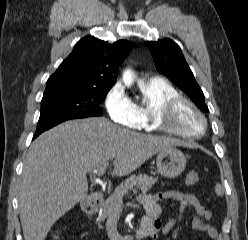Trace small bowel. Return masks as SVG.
<instances>
[{"label": "small bowel", "mask_w": 248, "mask_h": 240, "mask_svg": "<svg viewBox=\"0 0 248 240\" xmlns=\"http://www.w3.org/2000/svg\"><path fill=\"white\" fill-rule=\"evenodd\" d=\"M166 200L178 202L180 212L187 207L194 208L197 215L192 221V227L206 233L212 239H218L219 234L217 230L208 223L212 218L211 211L205 208L196 196L180 191H160L156 194L144 193L139 195L138 201L146 212L142 221L152 224V231L149 235L151 239L155 240L159 233L168 234L171 232L179 219V215H177L165 223L161 221L162 209L160 203Z\"/></svg>", "instance_id": "obj_1"}]
</instances>
